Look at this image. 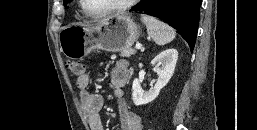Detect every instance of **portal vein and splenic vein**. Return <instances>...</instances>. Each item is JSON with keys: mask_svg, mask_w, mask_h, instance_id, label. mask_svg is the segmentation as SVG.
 Returning a JSON list of instances; mask_svg holds the SVG:
<instances>
[{"mask_svg": "<svg viewBox=\"0 0 257 130\" xmlns=\"http://www.w3.org/2000/svg\"><path fill=\"white\" fill-rule=\"evenodd\" d=\"M142 46L141 45H136V49H141Z\"/></svg>", "mask_w": 257, "mask_h": 130, "instance_id": "portal-vein-and-splenic-vein-1", "label": "portal vein and splenic vein"}]
</instances>
